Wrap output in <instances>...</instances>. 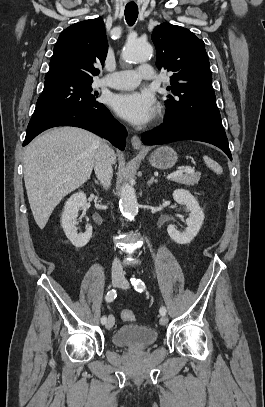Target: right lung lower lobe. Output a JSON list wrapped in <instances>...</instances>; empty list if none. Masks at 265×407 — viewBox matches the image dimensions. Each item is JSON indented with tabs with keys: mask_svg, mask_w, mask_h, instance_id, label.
Here are the masks:
<instances>
[{
	"mask_svg": "<svg viewBox=\"0 0 265 407\" xmlns=\"http://www.w3.org/2000/svg\"><path fill=\"white\" fill-rule=\"evenodd\" d=\"M56 126H75L89 130L109 140L120 150L125 148L127 131L111 115L104 104L73 108L30 121L23 146L46 129Z\"/></svg>",
	"mask_w": 265,
	"mask_h": 407,
	"instance_id": "obj_1",
	"label": "right lung lower lobe"
}]
</instances>
